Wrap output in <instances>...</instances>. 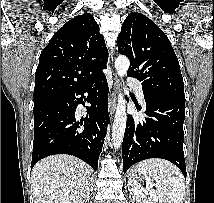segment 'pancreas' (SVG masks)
<instances>
[{
	"label": "pancreas",
	"instance_id": "cf45deb5",
	"mask_svg": "<svg viewBox=\"0 0 214 203\" xmlns=\"http://www.w3.org/2000/svg\"><path fill=\"white\" fill-rule=\"evenodd\" d=\"M138 202L139 203H154L153 201H146V200H143L141 198L138 200Z\"/></svg>",
	"mask_w": 214,
	"mask_h": 203
}]
</instances>
